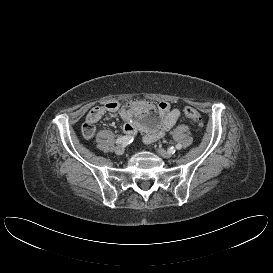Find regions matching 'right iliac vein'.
I'll use <instances>...</instances> for the list:
<instances>
[{"label": "right iliac vein", "instance_id": "obj_1", "mask_svg": "<svg viewBox=\"0 0 273 273\" xmlns=\"http://www.w3.org/2000/svg\"><path fill=\"white\" fill-rule=\"evenodd\" d=\"M124 151H125V148H124L123 146H117V147L115 148V153H116L117 155H122V154L124 153Z\"/></svg>", "mask_w": 273, "mask_h": 273}]
</instances>
